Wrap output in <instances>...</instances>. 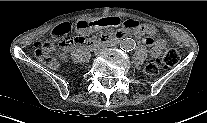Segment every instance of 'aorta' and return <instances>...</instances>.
I'll list each match as a JSON object with an SVG mask.
<instances>
[{
    "label": "aorta",
    "instance_id": "762f6f07",
    "mask_svg": "<svg viewBox=\"0 0 207 123\" xmlns=\"http://www.w3.org/2000/svg\"><path fill=\"white\" fill-rule=\"evenodd\" d=\"M135 41L131 38H125L121 41L120 47L125 51H131L135 48Z\"/></svg>",
    "mask_w": 207,
    "mask_h": 123
}]
</instances>
